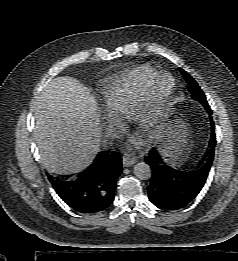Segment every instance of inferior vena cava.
Wrapping results in <instances>:
<instances>
[{"label":"inferior vena cava","instance_id":"602c4592","mask_svg":"<svg viewBox=\"0 0 238 261\" xmlns=\"http://www.w3.org/2000/svg\"><path fill=\"white\" fill-rule=\"evenodd\" d=\"M105 136L108 139L120 138V133L113 127L106 128Z\"/></svg>","mask_w":238,"mask_h":261}]
</instances>
